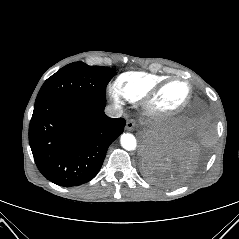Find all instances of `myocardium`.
I'll return each instance as SVG.
<instances>
[{"instance_id": "f54148a6", "label": "myocardium", "mask_w": 239, "mask_h": 239, "mask_svg": "<svg viewBox=\"0 0 239 239\" xmlns=\"http://www.w3.org/2000/svg\"><path fill=\"white\" fill-rule=\"evenodd\" d=\"M174 83H183L187 87V95L185 99L176 107L172 109H164L158 106L157 102L161 94L168 88L170 85ZM192 97V86L189 81L181 78H172L155 86L152 90H150L146 96L143 98V105L146 112L155 117H168L174 116L183 111L186 106L189 104Z\"/></svg>"}]
</instances>
